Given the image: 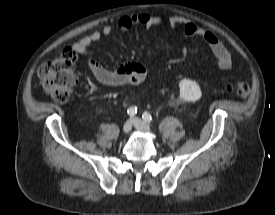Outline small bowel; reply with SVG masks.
Wrapping results in <instances>:
<instances>
[{"label":"small bowel","instance_id":"obj_1","mask_svg":"<svg viewBox=\"0 0 275 215\" xmlns=\"http://www.w3.org/2000/svg\"><path fill=\"white\" fill-rule=\"evenodd\" d=\"M161 25L181 26L185 36L201 38L209 46L219 68L223 70L231 68V55L216 35L179 16L140 13L122 16L117 21V28L121 31L137 26L152 28ZM112 33L113 27L105 25L101 30H96L74 43L72 49L81 54L87 53L92 44L98 42L102 37L110 36ZM87 66L95 79L106 86L138 85L145 80L148 74V68L140 62L125 63L116 70H109L97 61L90 59L87 61Z\"/></svg>","mask_w":275,"mask_h":215}]
</instances>
